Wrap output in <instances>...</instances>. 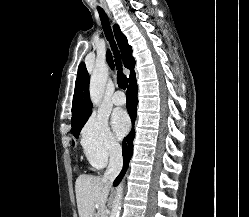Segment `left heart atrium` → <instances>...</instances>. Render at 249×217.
Wrapping results in <instances>:
<instances>
[{"mask_svg":"<svg viewBox=\"0 0 249 217\" xmlns=\"http://www.w3.org/2000/svg\"><path fill=\"white\" fill-rule=\"evenodd\" d=\"M112 126L119 137L124 136L130 126L128 115L124 111H116L112 116Z\"/></svg>","mask_w":249,"mask_h":217,"instance_id":"left-heart-atrium-1","label":"left heart atrium"}]
</instances>
